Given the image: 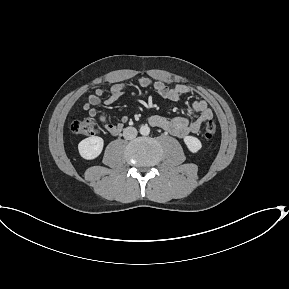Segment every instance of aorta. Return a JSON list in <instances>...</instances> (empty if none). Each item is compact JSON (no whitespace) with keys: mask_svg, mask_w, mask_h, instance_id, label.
Instances as JSON below:
<instances>
[{"mask_svg":"<svg viewBox=\"0 0 289 289\" xmlns=\"http://www.w3.org/2000/svg\"><path fill=\"white\" fill-rule=\"evenodd\" d=\"M149 133H150V128H149L148 125H142V126L140 127V134H141V135L146 136V135H148Z\"/></svg>","mask_w":289,"mask_h":289,"instance_id":"762f6f07","label":"aorta"}]
</instances>
